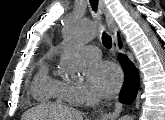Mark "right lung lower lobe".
<instances>
[{
  "mask_svg": "<svg viewBox=\"0 0 165 120\" xmlns=\"http://www.w3.org/2000/svg\"><path fill=\"white\" fill-rule=\"evenodd\" d=\"M119 61L125 76L119 100L122 103H131L135 99L139 89V74L136 67L125 55L119 54Z\"/></svg>",
  "mask_w": 165,
  "mask_h": 120,
  "instance_id": "obj_1",
  "label": "right lung lower lobe"
}]
</instances>
